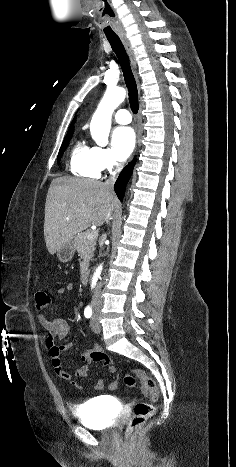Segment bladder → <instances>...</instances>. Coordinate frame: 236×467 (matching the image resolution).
<instances>
[{
  "label": "bladder",
  "instance_id": "31cf9c89",
  "mask_svg": "<svg viewBox=\"0 0 236 467\" xmlns=\"http://www.w3.org/2000/svg\"><path fill=\"white\" fill-rule=\"evenodd\" d=\"M114 408L106 397H95L87 400L80 407L73 408L75 417L90 428L106 429L113 426L108 410Z\"/></svg>",
  "mask_w": 236,
  "mask_h": 467
}]
</instances>
